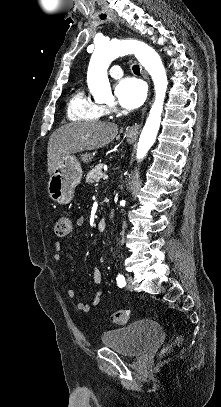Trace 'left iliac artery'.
<instances>
[{"label":"left iliac artery","instance_id":"44dca946","mask_svg":"<svg viewBox=\"0 0 221 407\" xmlns=\"http://www.w3.org/2000/svg\"><path fill=\"white\" fill-rule=\"evenodd\" d=\"M116 280H117V285L120 287V288H122V287H124L125 285H126V281H125V278L123 277V275H118L117 276V278H116Z\"/></svg>","mask_w":221,"mask_h":407}]
</instances>
